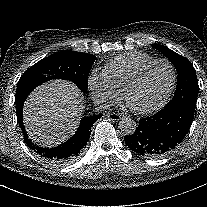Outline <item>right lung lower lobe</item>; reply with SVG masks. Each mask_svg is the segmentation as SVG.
Listing matches in <instances>:
<instances>
[{"label":"right lung lower lobe","instance_id":"right-lung-lower-lobe-1","mask_svg":"<svg viewBox=\"0 0 207 207\" xmlns=\"http://www.w3.org/2000/svg\"><path fill=\"white\" fill-rule=\"evenodd\" d=\"M24 102L25 99L16 102L17 121L24 135V141L42 160L55 165L68 163L81 154L90 138L91 127L96 120L102 117V114H98L83 118L78 130L68 141L54 148H43L34 144L25 131L22 114Z\"/></svg>","mask_w":207,"mask_h":207}]
</instances>
